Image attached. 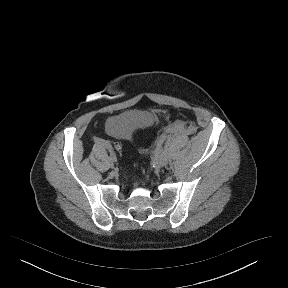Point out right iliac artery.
<instances>
[{"mask_svg":"<svg viewBox=\"0 0 288 288\" xmlns=\"http://www.w3.org/2000/svg\"><path fill=\"white\" fill-rule=\"evenodd\" d=\"M94 142L106 147L108 149L109 153H110V160H112L113 162L117 161L116 154H115L114 149H113V147H112L110 142H108V141H106L104 139H101V138H97V137L94 138Z\"/></svg>","mask_w":288,"mask_h":288,"instance_id":"obj_1","label":"right iliac artery"}]
</instances>
